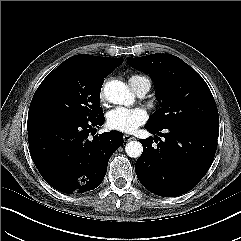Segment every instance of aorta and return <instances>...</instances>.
Returning a JSON list of instances; mask_svg holds the SVG:
<instances>
[{"label":"aorta","instance_id":"762f6f07","mask_svg":"<svg viewBox=\"0 0 241 241\" xmlns=\"http://www.w3.org/2000/svg\"><path fill=\"white\" fill-rule=\"evenodd\" d=\"M105 98L113 104H130L133 102V95L125 83L119 80H111L104 87ZM125 152L131 158H138L143 152L142 144L139 141H130L125 146Z\"/></svg>","mask_w":241,"mask_h":241}]
</instances>
